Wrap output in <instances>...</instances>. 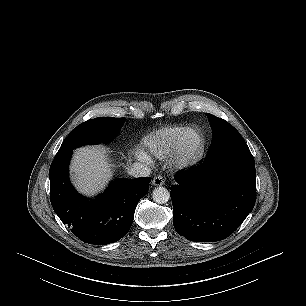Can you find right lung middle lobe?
<instances>
[{"label":"right lung middle lobe","instance_id":"1","mask_svg":"<svg viewBox=\"0 0 306 306\" xmlns=\"http://www.w3.org/2000/svg\"><path fill=\"white\" fill-rule=\"evenodd\" d=\"M125 118L98 117L74 128L63 141L55 157L62 156L76 147L86 144L109 142L119 133Z\"/></svg>","mask_w":306,"mask_h":306}]
</instances>
